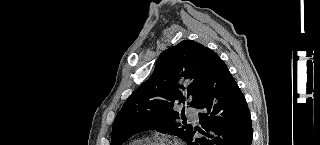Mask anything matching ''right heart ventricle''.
<instances>
[{
  "label": "right heart ventricle",
  "instance_id": "obj_1",
  "mask_svg": "<svg viewBox=\"0 0 320 145\" xmlns=\"http://www.w3.org/2000/svg\"><path fill=\"white\" fill-rule=\"evenodd\" d=\"M142 142H143L142 139L137 138V139H133L132 141H130L128 145H141Z\"/></svg>",
  "mask_w": 320,
  "mask_h": 145
}]
</instances>
